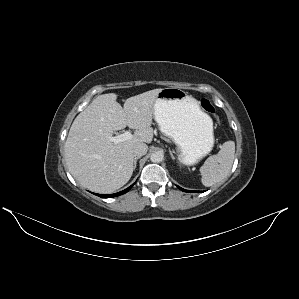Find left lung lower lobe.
Instances as JSON below:
<instances>
[{"label":"left lung lower lobe","instance_id":"1","mask_svg":"<svg viewBox=\"0 0 299 299\" xmlns=\"http://www.w3.org/2000/svg\"><path fill=\"white\" fill-rule=\"evenodd\" d=\"M179 189H181V190L184 191V192H198V191L185 190V189H182L181 187H179Z\"/></svg>","mask_w":299,"mask_h":299}]
</instances>
